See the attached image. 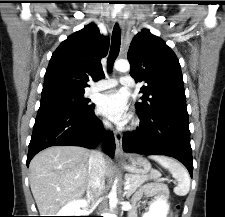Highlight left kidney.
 Masks as SVG:
<instances>
[{
	"mask_svg": "<svg viewBox=\"0 0 225 217\" xmlns=\"http://www.w3.org/2000/svg\"><path fill=\"white\" fill-rule=\"evenodd\" d=\"M169 205L165 200L159 199L150 205L149 211L143 217H166Z\"/></svg>",
	"mask_w": 225,
	"mask_h": 217,
	"instance_id": "5707ae66",
	"label": "left kidney"
}]
</instances>
